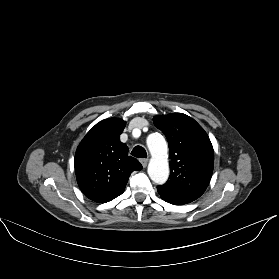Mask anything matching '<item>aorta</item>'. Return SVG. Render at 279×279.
Listing matches in <instances>:
<instances>
[{
	"label": "aorta",
	"mask_w": 279,
	"mask_h": 279,
	"mask_svg": "<svg viewBox=\"0 0 279 279\" xmlns=\"http://www.w3.org/2000/svg\"><path fill=\"white\" fill-rule=\"evenodd\" d=\"M147 146L151 153L148 174L156 184H164L169 177L168 147L165 139L159 133L147 137Z\"/></svg>",
	"instance_id": "obj_1"
}]
</instances>
